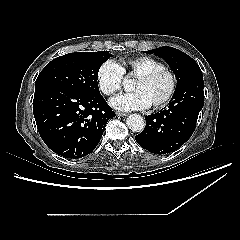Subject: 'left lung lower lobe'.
<instances>
[{
  "label": "left lung lower lobe",
  "instance_id": "obj_1",
  "mask_svg": "<svg viewBox=\"0 0 240 240\" xmlns=\"http://www.w3.org/2000/svg\"><path fill=\"white\" fill-rule=\"evenodd\" d=\"M203 105V78L177 87L169 109L146 117L145 129L135 137L137 143L157 154L175 151L192 135Z\"/></svg>",
  "mask_w": 240,
  "mask_h": 240
}]
</instances>
